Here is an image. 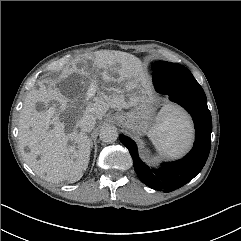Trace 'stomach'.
<instances>
[{"instance_id": "0dacf381", "label": "stomach", "mask_w": 241, "mask_h": 241, "mask_svg": "<svg viewBox=\"0 0 241 241\" xmlns=\"http://www.w3.org/2000/svg\"><path fill=\"white\" fill-rule=\"evenodd\" d=\"M113 86H118V83L113 84ZM155 110L156 106L152 97L143 94L129 111L117 113L115 119L124 128L140 135L150 129Z\"/></svg>"}]
</instances>
